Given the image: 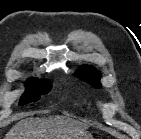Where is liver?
Returning <instances> with one entry per match:
<instances>
[{"mask_svg": "<svg viewBox=\"0 0 141 139\" xmlns=\"http://www.w3.org/2000/svg\"><path fill=\"white\" fill-rule=\"evenodd\" d=\"M86 125L67 116L27 117L17 122L4 139H79Z\"/></svg>", "mask_w": 141, "mask_h": 139, "instance_id": "6515ba94", "label": "liver"}]
</instances>
